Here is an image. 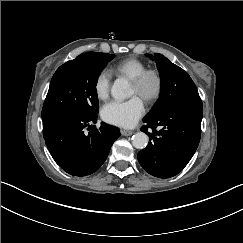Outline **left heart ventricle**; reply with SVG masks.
<instances>
[{"label":"left heart ventricle","mask_w":243,"mask_h":243,"mask_svg":"<svg viewBox=\"0 0 243 243\" xmlns=\"http://www.w3.org/2000/svg\"><path fill=\"white\" fill-rule=\"evenodd\" d=\"M157 88V80L154 76L150 77L143 88L137 89L133 84L131 87L132 94L139 95L142 98V95H150L155 92Z\"/></svg>","instance_id":"b2bd125f"}]
</instances>
